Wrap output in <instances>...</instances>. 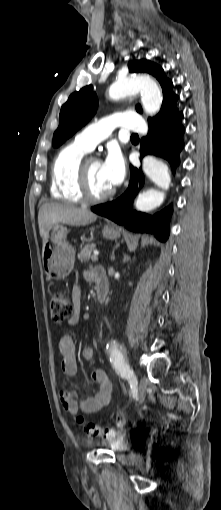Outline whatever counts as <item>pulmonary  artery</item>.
Instances as JSON below:
<instances>
[{"label": "pulmonary artery", "instance_id": "pulmonary-artery-1", "mask_svg": "<svg viewBox=\"0 0 221 510\" xmlns=\"http://www.w3.org/2000/svg\"><path fill=\"white\" fill-rule=\"evenodd\" d=\"M116 127L135 132H144L146 130V124L139 114L135 112H121L106 116L88 125L76 135L75 142L91 151Z\"/></svg>", "mask_w": 221, "mask_h": 510}]
</instances>
